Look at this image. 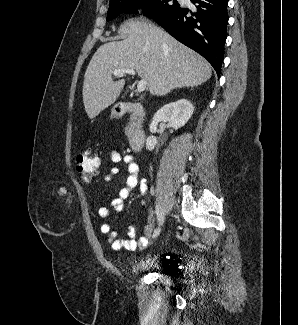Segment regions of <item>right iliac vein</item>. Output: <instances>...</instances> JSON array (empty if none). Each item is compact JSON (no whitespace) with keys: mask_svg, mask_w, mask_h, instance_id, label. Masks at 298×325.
Returning a JSON list of instances; mask_svg holds the SVG:
<instances>
[{"mask_svg":"<svg viewBox=\"0 0 298 325\" xmlns=\"http://www.w3.org/2000/svg\"><path fill=\"white\" fill-rule=\"evenodd\" d=\"M164 215H165V212H164L163 207L161 206L160 202H157V219H158L159 226L163 225Z\"/></svg>","mask_w":298,"mask_h":325,"instance_id":"63e3f726","label":"right iliac vein"}]
</instances>
